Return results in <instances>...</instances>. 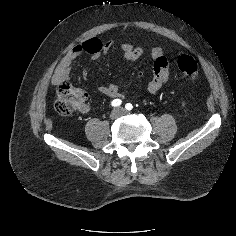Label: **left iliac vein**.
Here are the masks:
<instances>
[{"instance_id": "obj_1", "label": "left iliac vein", "mask_w": 236, "mask_h": 236, "mask_svg": "<svg viewBox=\"0 0 236 236\" xmlns=\"http://www.w3.org/2000/svg\"><path fill=\"white\" fill-rule=\"evenodd\" d=\"M121 110H122V115H124V114H127L128 112L126 111V110H124L123 108H121Z\"/></svg>"}]
</instances>
